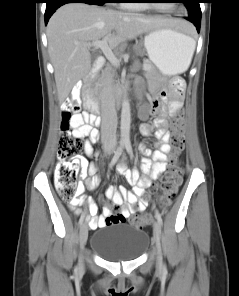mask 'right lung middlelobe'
I'll return each mask as SVG.
<instances>
[{"label":"right lung middle lobe","mask_w":239,"mask_h":296,"mask_svg":"<svg viewBox=\"0 0 239 296\" xmlns=\"http://www.w3.org/2000/svg\"><path fill=\"white\" fill-rule=\"evenodd\" d=\"M90 2H93L94 4L97 5H103L104 3H107L109 0H88Z\"/></svg>","instance_id":"right-lung-middle-lobe-1"}]
</instances>
